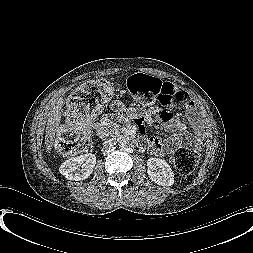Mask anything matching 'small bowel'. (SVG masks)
<instances>
[{
    "mask_svg": "<svg viewBox=\"0 0 253 253\" xmlns=\"http://www.w3.org/2000/svg\"><path fill=\"white\" fill-rule=\"evenodd\" d=\"M174 89L178 97L177 102L185 104L187 115L192 119V123L197 131L196 137L187 132L185 130V125L167 110L151 108L143 111L139 107L127 109L120 101H114L110 105L111 110L115 114L123 115L127 113L132 117L138 127L142 139L149 144L151 153L155 155L164 156L167 153L173 152L183 140L191 143L196 149H200L201 147L199 132L200 116L194 107L191 97L177 86H174ZM154 118L158 119L167 132L182 131V137L169 136L162 139L148 135L145 131L144 124L152 123ZM92 128L99 137L104 138L109 134L114 133L117 130V125L112 121L108 114H105L100 121L92 124Z\"/></svg>",
    "mask_w": 253,
    "mask_h": 253,
    "instance_id": "c3829d8e",
    "label": "small bowel"
}]
</instances>
